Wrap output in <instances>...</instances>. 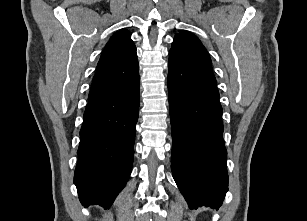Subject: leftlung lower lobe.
Returning <instances> with one entry per match:
<instances>
[{"instance_id":"obj_1","label":"left lung lower lobe","mask_w":307,"mask_h":221,"mask_svg":"<svg viewBox=\"0 0 307 221\" xmlns=\"http://www.w3.org/2000/svg\"><path fill=\"white\" fill-rule=\"evenodd\" d=\"M168 93L173 178L191 209L218 208L228 174L216 83L169 53Z\"/></svg>"}]
</instances>
